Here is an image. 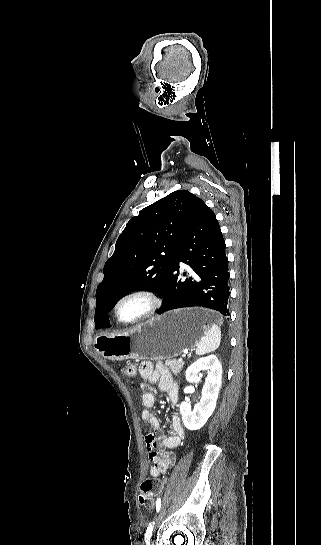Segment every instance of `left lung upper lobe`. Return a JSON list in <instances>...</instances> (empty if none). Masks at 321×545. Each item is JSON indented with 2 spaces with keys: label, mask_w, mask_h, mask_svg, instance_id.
<instances>
[{
  "label": "left lung upper lobe",
  "mask_w": 321,
  "mask_h": 545,
  "mask_svg": "<svg viewBox=\"0 0 321 545\" xmlns=\"http://www.w3.org/2000/svg\"><path fill=\"white\" fill-rule=\"evenodd\" d=\"M203 200L187 190L142 209L129 220L104 266L96 291V329L109 324L108 312L133 291H160L166 283L179 241Z\"/></svg>",
  "instance_id": "5c2ea615"
}]
</instances>
